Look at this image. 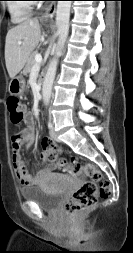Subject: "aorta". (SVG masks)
<instances>
[{
  "label": "aorta",
  "mask_w": 133,
  "mask_h": 253,
  "mask_svg": "<svg viewBox=\"0 0 133 253\" xmlns=\"http://www.w3.org/2000/svg\"><path fill=\"white\" fill-rule=\"evenodd\" d=\"M71 1H58L56 10V25L58 28V45L55 56L49 64L45 79L43 82L42 96L45 105H48L51 93L53 81L56 75L58 58L62 54V49L66 42L69 32V19H70Z\"/></svg>",
  "instance_id": "762f6f07"
}]
</instances>
